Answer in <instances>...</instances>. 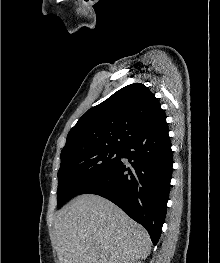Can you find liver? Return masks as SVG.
I'll list each match as a JSON object with an SVG mask.
<instances>
[{"instance_id":"1","label":"liver","mask_w":220,"mask_h":263,"mask_svg":"<svg viewBox=\"0 0 220 263\" xmlns=\"http://www.w3.org/2000/svg\"><path fill=\"white\" fill-rule=\"evenodd\" d=\"M59 263H129L151 251L148 232L98 195L77 196L54 218Z\"/></svg>"}]
</instances>
